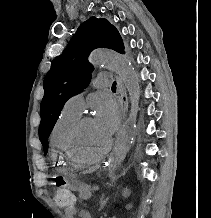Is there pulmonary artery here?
<instances>
[{
	"mask_svg": "<svg viewBox=\"0 0 211 218\" xmlns=\"http://www.w3.org/2000/svg\"><path fill=\"white\" fill-rule=\"evenodd\" d=\"M113 78V75L102 72L97 76V80L92 81V86L106 87L107 85H111V80H113ZM65 107L77 114H81L84 109V92L71 96L66 101Z\"/></svg>",
	"mask_w": 211,
	"mask_h": 218,
	"instance_id": "e3ab8cb5",
	"label": "pulmonary artery"
}]
</instances>
